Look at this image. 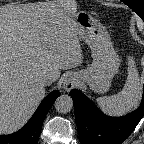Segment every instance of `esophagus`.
Segmentation results:
<instances>
[{
  "mask_svg": "<svg viewBox=\"0 0 144 144\" xmlns=\"http://www.w3.org/2000/svg\"><path fill=\"white\" fill-rule=\"evenodd\" d=\"M74 86H75V79H73V78H68L63 83V88L67 92H69L70 90H72L74 88Z\"/></svg>",
  "mask_w": 144,
  "mask_h": 144,
  "instance_id": "esophagus-1",
  "label": "esophagus"
}]
</instances>
